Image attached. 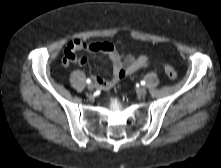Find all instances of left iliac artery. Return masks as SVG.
<instances>
[{
  "label": "left iliac artery",
  "mask_w": 221,
  "mask_h": 168,
  "mask_svg": "<svg viewBox=\"0 0 221 168\" xmlns=\"http://www.w3.org/2000/svg\"><path fill=\"white\" fill-rule=\"evenodd\" d=\"M141 85H145V81L143 80V81H141Z\"/></svg>",
  "instance_id": "1"
}]
</instances>
